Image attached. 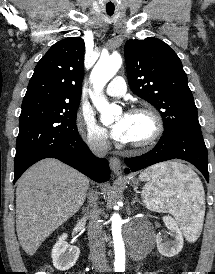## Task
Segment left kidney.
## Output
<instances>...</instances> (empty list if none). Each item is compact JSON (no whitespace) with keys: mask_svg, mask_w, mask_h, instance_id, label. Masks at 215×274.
Masks as SVG:
<instances>
[{"mask_svg":"<svg viewBox=\"0 0 215 274\" xmlns=\"http://www.w3.org/2000/svg\"><path fill=\"white\" fill-rule=\"evenodd\" d=\"M163 221L169 232L156 236L157 249L161 255L173 257L182 250L184 239L178 224L172 217L165 216ZM168 235H170L173 240H169Z\"/></svg>","mask_w":215,"mask_h":274,"instance_id":"1","label":"left kidney"}]
</instances>
